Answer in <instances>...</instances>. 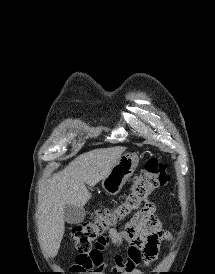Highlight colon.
Masks as SVG:
<instances>
[{"instance_id": "colon-1", "label": "colon", "mask_w": 215, "mask_h": 274, "mask_svg": "<svg viewBox=\"0 0 215 274\" xmlns=\"http://www.w3.org/2000/svg\"><path fill=\"white\" fill-rule=\"evenodd\" d=\"M167 167L161 161L151 158L144 168L135 176L129 192L111 208L98 209L94 216L72 229V239L81 254L89 253L103 234L126 220L131 215H138L141 207L151 193L169 183ZM168 238V234L164 233Z\"/></svg>"}]
</instances>
